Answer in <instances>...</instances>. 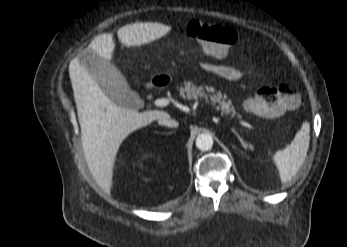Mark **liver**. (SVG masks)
<instances>
[{"label": "liver", "mask_w": 347, "mask_h": 247, "mask_svg": "<svg viewBox=\"0 0 347 247\" xmlns=\"http://www.w3.org/2000/svg\"><path fill=\"white\" fill-rule=\"evenodd\" d=\"M168 30L169 27L161 23H138L121 27L117 35L121 43L130 47L158 39ZM114 49L113 35L104 33L95 37L83 51H91L110 62ZM69 77L73 87L86 161L98 184L109 192L112 188L116 154L123 140L135 130L158 120L165 112L140 113L117 106L80 64L79 54L70 62Z\"/></svg>", "instance_id": "liver-1"}]
</instances>
